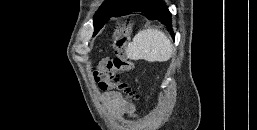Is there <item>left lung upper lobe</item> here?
<instances>
[{"label":"left lung upper lobe","instance_id":"1","mask_svg":"<svg viewBox=\"0 0 257 130\" xmlns=\"http://www.w3.org/2000/svg\"><path fill=\"white\" fill-rule=\"evenodd\" d=\"M129 0H106L100 6L99 10L95 13L93 18V24L95 31L98 30L103 26L112 12L124 4H126Z\"/></svg>","mask_w":257,"mask_h":130}]
</instances>
